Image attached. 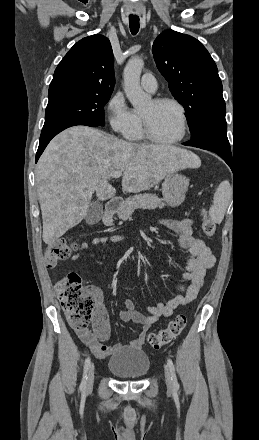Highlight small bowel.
<instances>
[{"label":"small bowel","mask_w":259,"mask_h":440,"mask_svg":"<svg viewBox=\"0 0 259 440\" xmlns=\"http://www.w3.org/2000/svg\"><path fill=\"white\" fill-rule=\"evenodd\" d=\"M161 223L176 236L178 246L188 253L185 272L182 277L183 284L180 286L181 293L167 303H159L148 307V314L136 310L133 300L126 299L124 301V307L120 311V318L123 321L134 322L141 327L138 336L130 342L133 348H140L142 346L147 331L159 318L172 315L176 308L184 306L196 298L204 283L207 271L215 264V257L210 248L201 238L194 236L191 220L162 219ZM126 239L127 237L124 235L96 237L90 243H81L71 258L72 260H77L81 252L90 245L106 246ZM92 290L97 302L93 316V328L76 329L75 331L79 339L93 351L94 355L103 359L110 355L118 345L108 346L105 344L110 336L107 310L102 301L101 291L97 287H92Z\"/></svg>","instance_id":"obj_1"}]
</instances>
